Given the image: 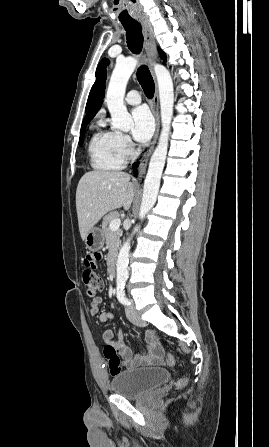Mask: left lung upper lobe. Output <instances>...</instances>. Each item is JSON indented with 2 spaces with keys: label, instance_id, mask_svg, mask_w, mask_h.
<instances>
[{
  "label": "left lung upper lobe",
  "instance_id": "obj_1",
  "mask_svg": "<svg viewBox=\"0 0 269 447\" xmlns=\"http://www.w3.org/2000/svg\"><path fill=\"white\" fill-rule=\"evenodd\" d=\"M159 52L161 53L160 56H161L163 59H165V58H166V57H165V54H164L163 52H161V50H159ZM106 65H108V61H107V59H103L102 62L99 64L97 70H96V82L94 83V85H93V87H92V89H91V92H90V95H89V98H88L87 107H88V105H89V103H90V100H91V98H92V95H93V93H94V91H95V89H96V86H97V84H98L100 73H101V71L105 68Z\"/></svg>",
  "mask_w": 269,
  "mask_h": 447
}]
</instances>
